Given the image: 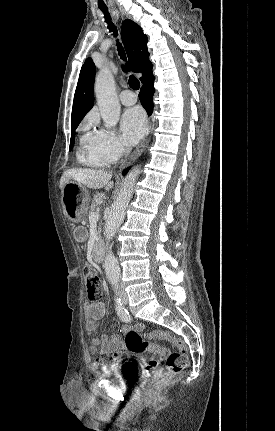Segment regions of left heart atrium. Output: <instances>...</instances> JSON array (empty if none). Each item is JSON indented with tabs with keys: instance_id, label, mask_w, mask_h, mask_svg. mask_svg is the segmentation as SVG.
<instances>
[{
	"instance_id": "39dd6f15",
	"label": "left heart atrium",
	"mask_w": 275,
	"mask_h": 431,
	"mask_svg": "<svg viewBox=\"0 0 275 431\" xmlns=\"http://www.w3.org/2000/svg\"><path fill=\"white\" fill-rule=\"evenodd\" d=\"M147 126L146 115L142 109H127L121 117V133L126 145L136 144L143 136Z\"/></svg>"
}]
</instances>
